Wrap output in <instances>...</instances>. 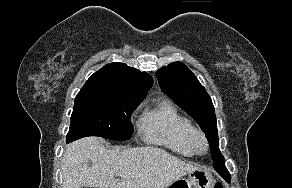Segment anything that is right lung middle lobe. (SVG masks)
Returning <instances> with one entry per match:
<instances>
[{
  "label": "right lung middle lobe",
  "instance_id": "right-lung-middle-lobe-1",
  "mask_svg": "<svg viewBox=\"0 0 292 188\" xmlns=\"http://www.w3.org/2000/svg\"><path fill=\"white\" fill-rule=\"evenodd\" d=\"M143 98L101 86H83L75 98L67 142L85 136L116 141L131 138V114Z\"/></svg>",
  "mask_w": 292,
  "mask_h": 188
}]
</instances>
